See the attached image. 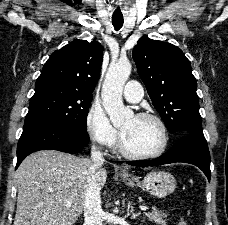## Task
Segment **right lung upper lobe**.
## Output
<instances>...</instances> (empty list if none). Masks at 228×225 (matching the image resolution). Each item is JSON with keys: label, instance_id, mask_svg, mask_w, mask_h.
I'll return each instance as SVG.
<instances>
[{"label": "right lung upper lobe", "instance_id": "1", "mask_svg": "<svg viewBox=\"0 0 228 225\" xmlns=\"http://www.w3.org/2000/svg\"><path fill=\"white\" fill-rule=\"evenodd\" d=\"M103 47L97 41L76 40L52 53L36 86L59 84L92 94L98 81Z\"/></svg>", "mask_w": 228, "mask_h": 225}]
</instances>
